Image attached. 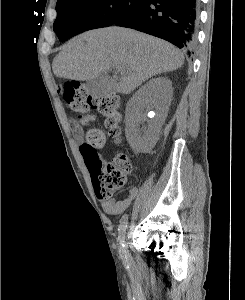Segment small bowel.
<instances>
[{"label":"small bowel","mask_w":245,"mask_h":300,"mask_svg":"<svg viewBox=\"0 0 245 300\" xmlns=\"http://www.w3.org/2000/svg\"><path fill=\"white\" fill-rule=\"evenodd\" d=\"M71 130L74 136V139L77 142H82L83 140V130L81 126L73 121L71 123ZM139 190L137 188H131L128 196L120 201L114 199H108L101 201L102 209L108 214H120L125 211L132 203V201L137 197Z\"/></svg>","instance_id":"1"}]
</instances>
